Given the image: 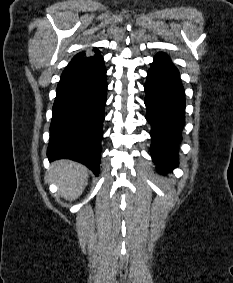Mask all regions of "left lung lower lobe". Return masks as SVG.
<instances>
[{
  "instance_id": "left-lung-lower-lobe-1",
  "label": "left lung lower lobe",
  "mask_w": 233,
  "mask_h": 283,
  "mask_svg": "<svg viewBox=\"0 0 233 283\" xmlns=\"http://www.w3.org/2000/svg\"><path fill=\"white\" fill-rule=\"evenodd\" d=\"M146 119L152 126L151 155L159 172L177 166V146L184 126L185 93L177 68L165 53L154 57L144 86Z\"/></svg>"
}]
</instances>
